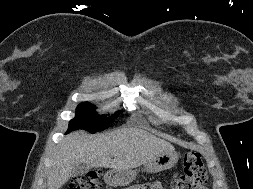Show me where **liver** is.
<instances>
[{"instance_id": "6515ba94", "label": "liver", "mask_w": 253, "mask_h": 189, "mask_svg": "<svg viewBox=\"0 0 253 189\" xmlns=\"http://www.w3.org/2000/svg\"><path fill=\"white\" fill-rule=\"evenodd\" d=\"M168 151H175L171 143L137 127H124L94 137L76 131L56 146L51 156L47 187L61 188L71 178L73 165L77 163L125 171Z\"/></svg>"}]
</instances>
